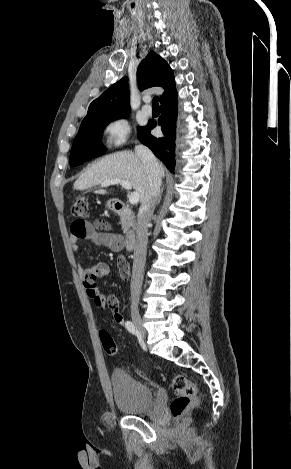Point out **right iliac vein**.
<instances>
[{"mask_svg":"<svg viewBox=\"0 0 291 469\" xmlns=\"http://www.w3.org/2000/svg\"><path fill=\"white\" fill-rule=\"evenodd\" d=\"M131 318L132 321L138 331V333L141 335L142 338L146 337V331L142 326V320L139 314V311L136 307L131 308Z\"/></svg>","mask_w":291,"mask_h":469,"instance_id":"right-iliac-vein-1","label":"right iliac vein"}]
</instances>
